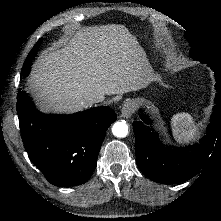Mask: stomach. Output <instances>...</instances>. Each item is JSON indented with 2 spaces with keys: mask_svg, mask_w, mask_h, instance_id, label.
I'll return each instance as SVG.
<instances>
[{
  "mask_svg": "<svg viewBox=\"0 0 221 221\" xmlns=\"http://www.w3.org/2000/svg\"><path fill=\"white\" fill-rule=\"evenodd\" d=\"M152 77H153V76H152ZM153 79H154V80H157V78H156V77H154Z\"/></svg>",
  "mask_w": 221,
  "mask_h": 221,
  "instance_id": "stomach-1",
  "label": "stomach"
}]
</instances>
